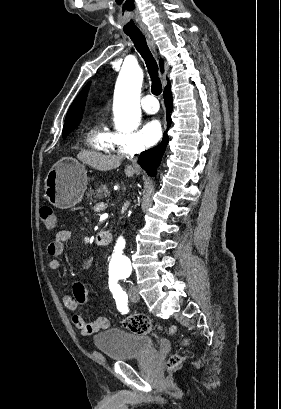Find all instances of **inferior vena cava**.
<instances>
[{
    "instance_id": "obj_1",
    "label": "inferior vena cava",
    "mask_w": 281,
    "mask_h": 409,
    "mask_svg": "<svg viewBox=\"0 0 281 409\" xmlns=\"http://www.w3.org/2000/svg\"><path fill=\"white\" fill-rule=\"evenodd\" d=\"M131 160H133V162H136L135 158H131ZM139 170H140V166H138V164H136L135 172H137V174H139Z\"/></svg>"
}]
</instances>
